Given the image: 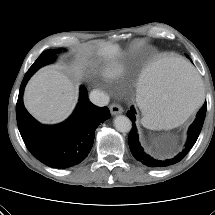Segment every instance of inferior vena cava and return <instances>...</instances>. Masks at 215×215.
<instances>
[{
    "instance_id": "inferior-vena-cava-1",
    "label": "inferior vena cava",
    "mask_w": 215,
    "mask_h": 215,
    "mask_svg": "<svg viewBox=\"0 0 215 215\" xmlns=\"http://www.w3.org/2000/svg\"><path fill=\"white\" fill-rule=\"evenodd\" d=\"M89 99L93 104L100 107L108 105L110 101L108 94L98 89L91 91Z\"/></svg>"
}]
</instances>
